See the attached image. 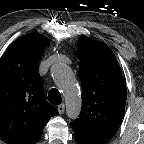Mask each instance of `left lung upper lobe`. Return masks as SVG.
Here are the masks:
<instances>
[{"label":"left lung upper lobe","mask_w":144,"mask_h":144,"mask_svg":"<svg viewBox=\"0 0 144 144\" xmlns=\"http://www.w3.org/2000/svg\"><path fill=\"white\" fill-rule=\"evenodd\" d=\"M77 56L82 110L71 124L75 138L87 144H106L115 135L123 118L125 80L114 54L104 43L81 36Z\"/></svg>","instance_id":"obj_1"}]
</instances>
